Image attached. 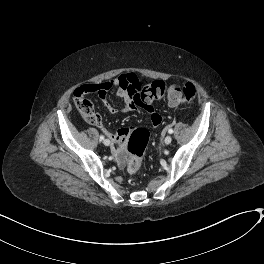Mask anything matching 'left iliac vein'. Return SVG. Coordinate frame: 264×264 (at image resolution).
<instances>
[{
	"label": "left iliac vein",
	"mask_w": 264,
	"mask_h": 264,
	"mask_svg": "<svg viewBox=\"0 0 264 264\" xmlns=\"http://www.w3.org/2000/svg\"><path fill=\"white\" fill-rule=\"evenodd\" d=\"M172 142V137L170 136V135H168V136H166L165 138H164V143L165 144H170Z\"/></svg>",
	"instance_id": "1"
}]
</instances>
